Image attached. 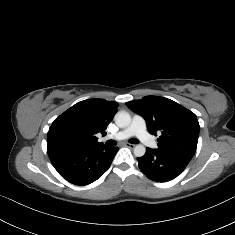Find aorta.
<instances>
[{"mask_svg":"<svg viewBox=\"0 0 235 235\" xmlns=\"http://www.w3.org/2000/svg\"><path fill=\"white\" fill-rule=\"evenodd\" d=\"M114 121L115 124L120 127V128H124L130 125L131 123V116L128 112L121 110L118 111L115 116H114ZM146 152L145 147L142 144H138L135 146L134 148V155L136 157H142L144 156Z\"/></svg>","mask_w":235,"mask_h":235,"instance_id":"1","label":"aorta"}]
</instances>
